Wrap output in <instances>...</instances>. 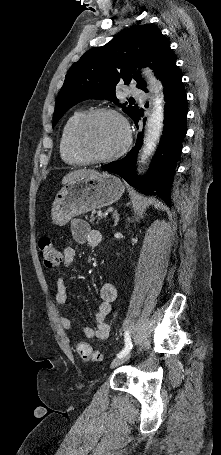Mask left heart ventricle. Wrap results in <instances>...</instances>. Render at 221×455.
<instances>
[{
    "label": "left heart ventricle",
    "mask_w": 221,
    "mask_h": 455,
    "mask_svg": "<svg viewBox=\"0 0 221 455\" xmlns=\"http://www.w3.org/2000/svg\"><path fill=\"white\" fill-rule=\"evenodd\" d=\"M125 140L119 119L103 115L93 119L84 129L83 144L94 156L102 157L117 151Z\"/></svg>",
    "instance_id": "b2bd125f"
}]
</instances>
